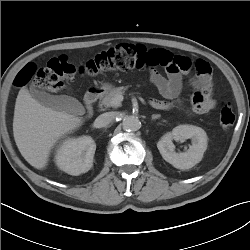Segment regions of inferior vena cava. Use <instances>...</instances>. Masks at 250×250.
<instances>
[{
  "label": "inferior vena cava",
  "instance_id": "inferior-vena-cava-1",
  "mask_svg": "<svg viewBox=\"0 0 250 250\" xmlns=\"http://www.w3.org/2000/svg\"><path fill=\"white\" fill-rule=\"evenodd\" d=\"M115 112H106L101 115H99L95 121L94 126L96 128H102L108 126L113 120L115 119Z\"/></svg>",
  "mask_w": 250,
  "mask_h": 250
}]
</instances>
